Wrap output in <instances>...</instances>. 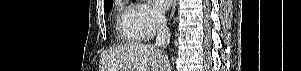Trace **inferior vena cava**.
Instances as JSON below:
<instances>
[{"instance_id": "1", "label": "inferior vena cava", "mask_w": 301, "mask_h": 71, "mask_svg": "<svg viewBox=\"0 0 301 71\" xmlns=\"http://www.w3.org/2000/svg\"><path fill=\"white\" fill-rule=\"evenodd\" d=\"M157 36L154 47L166 48L170 42V30L167 26L166 17L163 14H156Z\"/></svg>"}]
</instances>
